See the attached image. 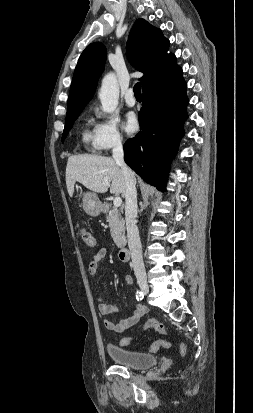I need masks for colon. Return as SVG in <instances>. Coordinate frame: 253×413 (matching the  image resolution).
<instances>
[{
    "mask_svg": "<svg viewBox=\"0 0 253 413\" xmlns=\"http://www.w3.org/2000/svg\"><path fill=\"white\" fill-rule=\"evenodd\" d=\"M80 236H81V239L83 241V244L86 247L95 248L97 246L96 239L86 229H82L80 231ZM149 329H153V330L157 331L160 334H166L167 333V329H166L165 325L162 322H160L156 319H149L145 322V324L143 326V330L146 331V330H149ZM131 341H132V338L125 337L121 340V344L123 346H127L131 343ZM169 347H170V343L168 341L159 340V341L155 342L154 344H152L150 346V350L151 351H157L160 348H169ZM180 350H181V353L183 355L186 353V348L183 344L181 345Z\"/></svg>",
    "mask_w": 253,
    "mask_h": 413,
    "instance_id": "5ec220e1",
    "label": "colon"
}]
</instances>
